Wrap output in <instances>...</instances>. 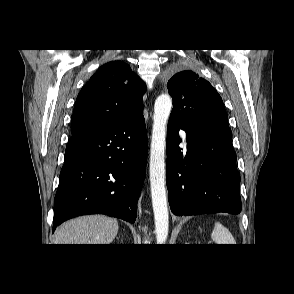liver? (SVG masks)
Listing matches in <instances>:
<instances>
[{
	"mask_svg": "<svg viewBox=\"0 0 294 294\" xmlns=\"http://www.w3.org/2000/svg\"><path fill=\"white\" fill-rule=\"evenodd\" d=\"M118 221L104 215L82 216L55 231V244H110L118 233Z\"/></svg>",
	"mask_w": 294,
	"mask_h": 294,
	"instance_id": "liver-1",
	"label": "liver"
}]
</instances>
